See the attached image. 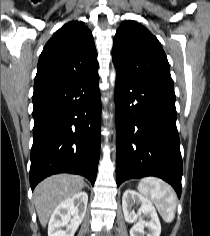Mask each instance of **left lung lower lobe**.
<instances>
[{
  "label": "left lung lower lobe",
  "mask_w": 210,
  "mask_h": 236,
  "mask_svg": "<svg viewBox=\"0 0 210 236\" xmlns=\"http://www.w3.org/2000/svg\"><path fill=\"white\" fill-rule=\"evenodd\" d=\"M116 181L160 177L181 195L182 159L174 87L119 74L115 87Z\"/></svg>",
  "instance_id": "obj_1"
}]
</instances>
